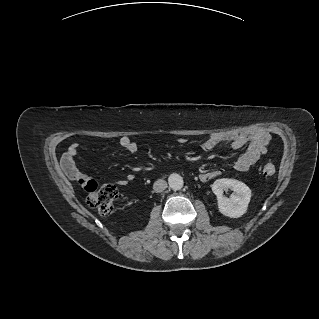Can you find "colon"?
<instances>
[{
    "label": "colon",
    "mask_w": 319,
    "mask_h": 319,
    "mask_svg": "<svg viewBox=\"0 0 319 319\" xmlns=\"http://www.w3.org/2000/svg\"><path fill=\"white\" fill-rule=\"evenodd\" d=\"M275 167L272 164H266L263 168V174L266 177L274 175ZM81 187L87 191V203L90 207L97 210L102 215L110 214L114 209V203L118 198V190L114 185L98 184L88 178H79Z\"/></svg>",
    "instance_id": "1"
}]
</instances>
